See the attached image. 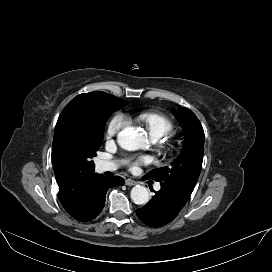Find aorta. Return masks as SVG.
Here are the masks:
<instances>
[{"instance_id": "aorta-1", "label": "aorta", "mask_w": 272, "mask_h": 272, "mask_svg": "<svg viewBox=\"0 0 272 272\" xmlns=\"http://www.w3.org/2000/svg\"><path fill=\"white\" fill-rule=\"evenodd\" d=\"M117 141L125 150L134 151L142 148L146 143V134L141 128L126 127L118 133ZM132 201L137 205H145L149 201V192L146 187L136 185L130 193Z\"/></svg>"}]
</instances>
